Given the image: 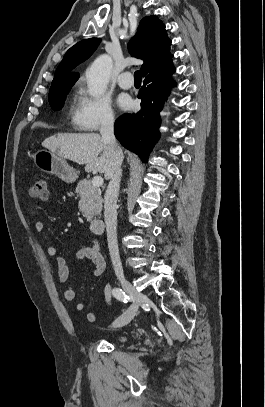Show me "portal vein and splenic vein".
I'll use <instances>...</instances> for the list:
<instances>
[{
  "mask_svg": "<svg viewBox=\"0 0 265 407\" xmlns=\"http://www.w3.org/2000/svg\"><path fill=\"white\" fill-rule=\"evenodd\" d=\"M92 185L99 187L103 185V178L101 176H95L92 179Z\"/></svg>",
  "mask_w": 265,
  "mask_h": 407,
  "instance_id": "portal-vein-and-splenic-vein-1",
  "label": "portal vein and splenic vein"
}]
</instances>
